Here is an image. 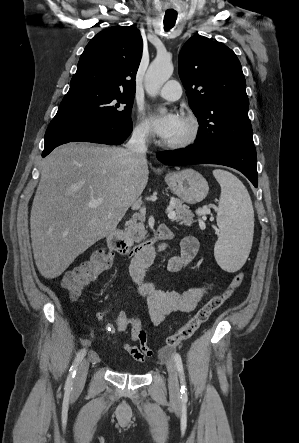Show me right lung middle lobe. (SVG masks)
Masks as SVG:
<instances>
[{
    "label": "right lung middle lobe",
    "mask_w": 299,
    "mask_h": 443,
    "mask_svg": "<svg viewBox=\"0 0 299 443\" xmlns=\"http://www.w3.org/2000/svg\"><path fill=\"white\" fill-rule=\"evenodd\" d=\"M134 95L99 88H70L51 123L91 124L131 120Z\"/></svg>",
    "instance_id": "1"
}]
</instances>
